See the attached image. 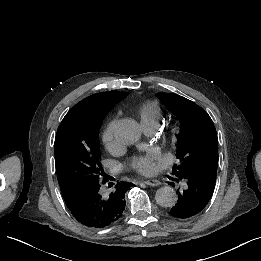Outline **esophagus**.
Returning a JSON list of instances; mask_svg holds the SVG:
<instances>
[{"label":"esophagus","instance_id":"1","mask_svg":"<svg viewBox=\"0 0 261 261\" xmlns=\"http://www.w3.org/2000/svg\"><path fill=\"white\" fill-rule=\"evenodd\" d=\"M145 184H147L149 186H158L161 184V182L157 179H148L145 181Z\"/></svg>","mask_w":261,"mask_h":261}]
</instances>
